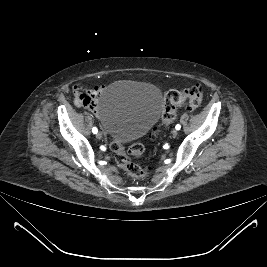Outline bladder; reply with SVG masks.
<instances>
[{
	"mask_svg": "<svg viewBox=\"0 0 267 267\" xmlns=\"http://www.w3.org/2000/svg\"><path fill=\"white\" fill-rule=\"evenodd\" d=\"M162 94L152 85L132 80L111 83L98 101V116L111 139L128 143L141 138L159 118Z\"/></svg>",
	"mask_w": 267,
	"mask_h": 267,
	"instance_id": "1",
	"label": "bladder"
}]
</instances>
